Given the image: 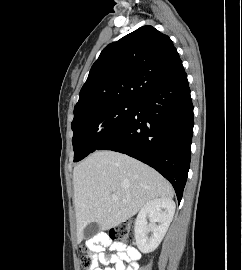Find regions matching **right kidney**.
I'll return each mask as SVG.
<instances>
[{
	"label": "right kidney",
	"mask_w": 242,
	"mask_h": 270,
	"mask_svg": "<svg viewBox=\"0 0 242 270\" xmlns=\"http://www.w3.org/2000/svg\"><path fill=\"white\" fill-rule=\"evenodd\" d=\"M175 207L172 199L156 198L141 208L134 229L136 244L141 252L149 253L158 247L173 219ZM147 217L150 219V224L147 223ZM149 232H152L150 238Z\"/></svg>",
	"instance_id": "1"
}]
</instances>
